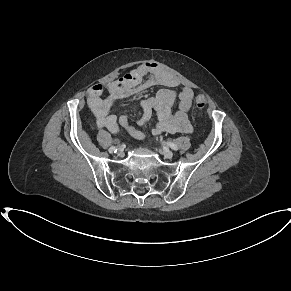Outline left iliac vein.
Returning a JSON list of instances; mask_svg holds the SVG:
<instances>
[{
    "label": "left iliac vein",
    "mask_w": 291,
    "mask_h": 291,
    "mask_svg": "<svg viewBox=\"0 0 291 291\" xmlns=\"http://www.w3.org/2000/svg\"><path fill=\"white\" fill-rule=\"evenodd\" d=\"M160 152L164 155V157H166L168 159H171L173 157V153L166 148L161 149Z\"/></svg>",
    "instance_id": "obj_1"
}]
</instances>
